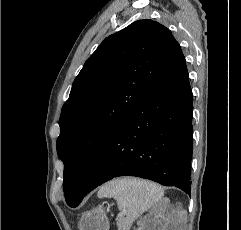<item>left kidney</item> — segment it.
<instances>
[{
  "instance_id": "obj_1",
  "label": "left kidney",
  "mask_w": 241,
  "mask_h": 230,
  "mask_svg": "<svg viewBox=\"0 0 241 230\" xmlns=\"http://www.w3.org/2000/svg\"><path fill=\"white\" fill-rule=\"evenodd\" d=\"M151 229L153 228L150 226H144V227H139L137 230H151Z\"/></svg>"
}]
</instances>
